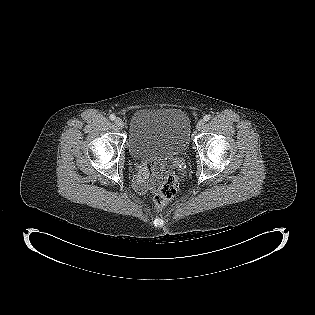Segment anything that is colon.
<instances>
[{
    "mask_svg": "<svg viewBox=\"0 0 315 315\" xmlns=\"http://www.w3.org/2000/svg\"><path fill=\"white\" fill-rule=\"evenodd\" d=\"M178 180L174 173H167L154 196V206L157 211L162 210L166 204L175 196Z\"/></svg>",
    "mask_w": 315,
    "mask_h": 315,
    "instance_id": "5ec220e1",
    "label": "colon"
}]
</instances>
